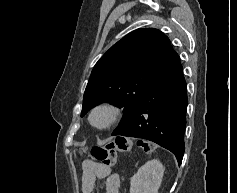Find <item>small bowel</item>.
I'll return each mask as SVG.
<instances>
[{
    "mask_svg": "<svg viewBox=\"0 0 237 193\" xmlns=\"http://www.w3.org/2000/svg\"><path fill=\"white\" fill-rule=\"evenodd\" d=\"M103 180L105 193H119L121 187L120 176L111 168L99 164H91L84 167L81 192L94 193L96 180Z\"/></svg>",
    "mask_w": 237,
    "mask_h": 193,
    "instance_id": "1",
    "label": "small bowel"
}]
</instances>
